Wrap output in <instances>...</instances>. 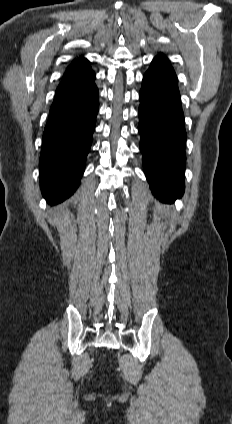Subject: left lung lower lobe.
<instances>
[{"instance_id": "left-lung-lower-lobe-1", "label": "left lung lower lobe", "mask_w": 232, "mask_h": 424, "mask_svg": "<svg viewBox=\"0 0 232 424\" xmlns=\"http://www.w3.org/2000/svg\"><path fill=\"white\" fill-rule=\"evenodd\" d=\"M139 99L144 172L153 194L172 202L184 192L186 131L178 80L165 56L152 61Z\"/></svg>"}]
</instances>
